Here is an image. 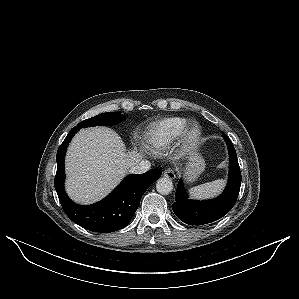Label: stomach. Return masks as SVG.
Masks as SVG:
<instances>
[{
    "label": "stomach",
    "instance_id": "0dacf381",
    "mask_svg": "<svg viewBox=\"0 0 299 299\" xmlns=\"http://www.w3.org/2000/svg\"><path fill=\"white\" fill-rule=\"evenodd\" d=\"M205 169L204 159L197 153L192 152L189 158V162L184 171V178L187 183H192L197 180L200 174Z\"/></svg>",
    "mask_w": 299,
    "mask_h": 299
}]
</instances>
